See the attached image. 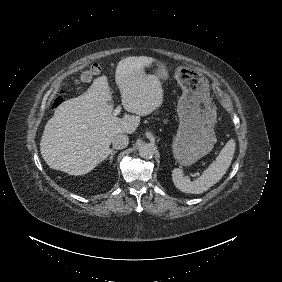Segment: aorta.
I'll return each mask as SVG.
<instances>
[{
	"instance_id": "aorta-1",
	"label": "aorta",
	"mask_w": 282,
	"mask_h": 282,
	"mask_svg": "<svg viewBox=\"0 0 282 282\" xmlns=\"http://www.w3.org/2000/svg\"><path fill=\"white\" fill-rule=\"evenodd\" d=\"M155 153L154 147L149 143H144L139 147V155L143 158H151Z\"/></svg>"
}]
</instances>
